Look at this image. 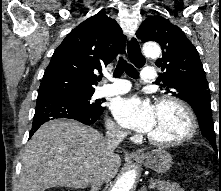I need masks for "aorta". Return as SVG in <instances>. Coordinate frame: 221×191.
Returning <instances> with one entry per match:
<instances>
[{
    "label": "aorta",
    "instance_id": "obj_1",
    "mask_svg": "<svg viewBox=\"0 0 221 191\" xmlns=\"http://www.w3.org/2000/svg\"><path fill=\"white\" fill-rule=\"evenodd\" d=\"M143 52L147 57L152 59H156L161 54V49L158 44L154 42H148L143 46ZM136 171L128 170L120 178L116 181L111 191H130L135 179H136Z\"/></svg>",
    "mask_w": 221,
    "mask_h": 191
}]
</instances>
